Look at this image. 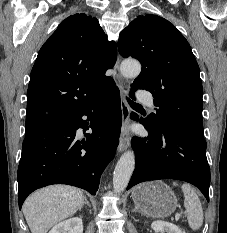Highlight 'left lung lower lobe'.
Masks as SVG:
<instances>
[{
	"label": "left lung lower lobe",
	"mask_w": 227,
	"mask_h": 233,
	"mask_svg": "<svg viewBox=\"0 0 227 233\" xmlns=\"http://www.w3.org/2000/svg\"><path fill=\"white\" fill-rule=\"evenodd\" d=\"M129 95L135 100L132 91ZM131 116L138 119L135 113ZM139 122L149 134L132 138L136 165L127 190L144 181L176 179L195 185L209 202L210 168L205 139L171 124L154 130L145 119Z\"/></svg>",
	"instance_id": "left-lung-lower-lobe-1"
}]
</instances>
